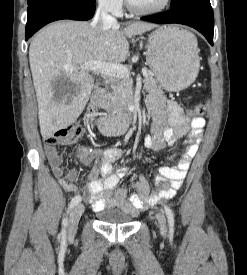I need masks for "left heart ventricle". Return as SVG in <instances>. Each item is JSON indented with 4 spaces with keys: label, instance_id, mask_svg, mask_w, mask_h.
Returning <instances> with one entry per match:
<instances>
[{
    "label": "left heart ventricle",
    "instance_id": "obj_1",
    "mask_svg": "<svg viewBox=\"0 0 247 275\" xmlns=\"http://www.w3.org/2000/svg\"><path fill=\"white\" fill-rule=\"evenodd\" d=\"M132 4L137 8H154L161 5L164 0H130Z\"/></svg>",
    "mask_w": 247,
    "mask_h": 275
}]
</instances>
